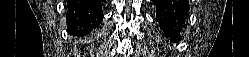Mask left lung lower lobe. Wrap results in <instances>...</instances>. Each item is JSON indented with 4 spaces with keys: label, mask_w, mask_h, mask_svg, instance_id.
Wrapping results in <instances>:
<instances>
[{
    "label": "left lung lower lobe",
    "mask_w": 249,
    "mask_h": 57,
    "mask_svg": "<svg viewBox=\"0 0 249 57\" xmlns=\"http://www.w3.org/2000/svg\"><path fill=\"white\" fill-rule=\"evenodd\" d=\"M156 5V21H159L161 30L172 42L180 38L178 32L182 28L184 18L189 11L188 0H152Z\"/></svg>",
    "instance_id": "obj_1"
}]
</instances>
